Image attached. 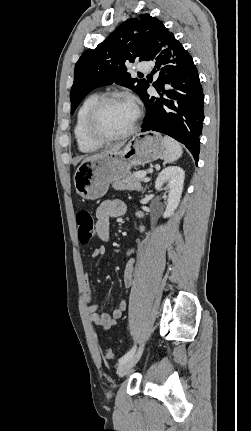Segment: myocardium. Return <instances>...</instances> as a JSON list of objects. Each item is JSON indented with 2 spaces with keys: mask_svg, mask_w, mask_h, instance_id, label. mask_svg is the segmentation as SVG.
<instances>
[{
  "mask_svg": "<svg viewBox=\"0 0 251 431\" xmlns=\"http://www.w3.org/2000/svg\"><path fill=\"white\" fill-rule=\"evenodd\" d=\"M113 101L131 102L135 106L136 116L131 127L125 132L117 135H105L98 131L96 123H97L98 116L101 110L104 108V106H106L108 103ZM141 117H142V111L138 106V104H136L133 100H131L129 97L123 94L109 93L101 96L90 108L85 121V131L89 139H91L94 142L101 143V144L114 142L131 136L137 130Z\"/></svg>",
  "mask_w": 251,
  "mask_h": 431,
  "instance_id": "1",
  "label": "myocardium"
}]
</instances>
